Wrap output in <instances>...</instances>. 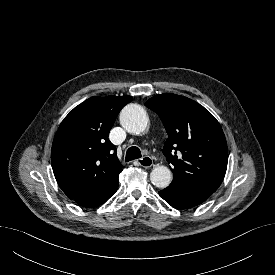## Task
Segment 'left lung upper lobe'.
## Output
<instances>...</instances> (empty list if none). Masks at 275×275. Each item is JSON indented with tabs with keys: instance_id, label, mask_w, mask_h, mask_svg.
<instances>
[{
	"instance_id": "5c2ea615",
	"label": "left lung upper lobe",
	"mask_w": 275,
	"mask_h": 275,
	"mask_svg": "<svg viewBox=\"0 0 275 275\" xmlns=\"http://www.w3.org/2000/svg\"><path fill=\"white\" fill-rule=\"evenodd\" d=\"M145 106L159 115L169 136L163 154L173 165L171 184L215 192L228 162L227 142L215 117L197 102L176 94L156 95Z\"/></svg>"
}]
</instances>
